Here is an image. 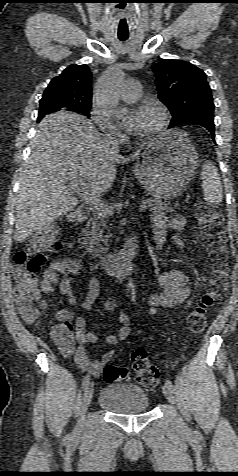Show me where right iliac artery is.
I'll return each instance as SVG.
<instances>
[{
    "label": "right iliac artery",
    "mask_w": 238,
    "mask_h": 476,
    "mask_svg": "<svg viewBox=\"0 0 238 476\" xmlns=\"http://www.w3.org/2000/svg\"><path fill=\"white\" fill-rule=\"evenodd\" d=\"M89 382H90V375L87 374V375L84 377L83 382H82L83 388H86V386L89 384Z\"/></svg>",
    "instance_id": "1"
}]
</instances>
